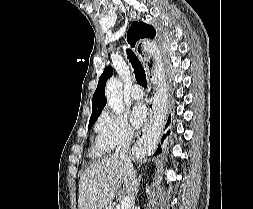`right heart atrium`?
I'll list each match as a JSON object with an SVG mask.
<instances>
[{
	"label": "right heart atrium",
	"mask_w": 253,
	"mask_h": 209,
	"mask_svg": "<svg viewBox=\"0 0 253 209\" xmlns=\"http://www.w3.org/2000/svg\"><path fill=\"white\" fill-rule=\"evenodd\" d=\"M96 143L105 151H111L122 144H129L134 132L124 115L104 111L96 125Z\"/></svg>",
	"instance_id": "1"
}]
</instances>
